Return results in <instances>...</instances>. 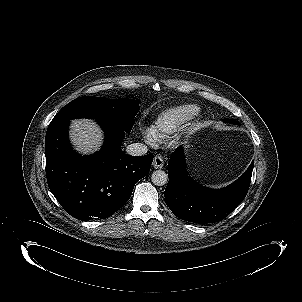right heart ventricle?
<instances>
[{
    "label": "right heart ventricle",
    "instance_id": "e07e8e85",
    "mask_svg": "<svg viewBox=\"0 0 302 302\" xmlns=\"http://www.w3.org/2000/svg\"><path fill=\"white\" fill-rule=\"evenodd\" d=\"M198 111V106L189 103L165 109L154 118L152 132L160 139H168L193 119Z\"/></svg>",
    "mask_w": 302,
    "mask_h": 302
}]
</instances>
